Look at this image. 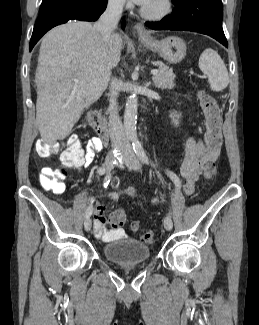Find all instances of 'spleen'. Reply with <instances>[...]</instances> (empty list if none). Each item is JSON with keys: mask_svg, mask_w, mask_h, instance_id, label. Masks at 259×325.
Listing matches in <instances>:
<instances>
[{"mask_svg": "<svg viewBox=\"0 0 259 325\" xmlns=\"http://www.w3.org/2000/svg\"><path fill=\"white\" fill-rule=\"evenodd\" d=\"M199 68L208 76L211 90L219 92L227 87L229 83L228 71L215 50L208 48L203 51L199 58Z\"/></svg>", "mask_w": 259, "mask_h": 325, "instance_id": "spleen-1", "label": "spleen"}]
</instances>
